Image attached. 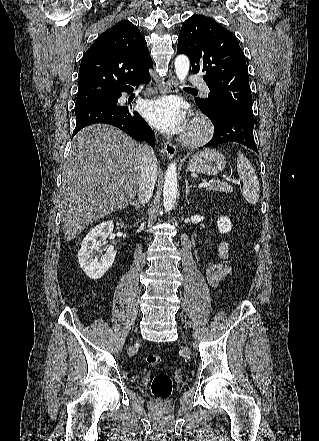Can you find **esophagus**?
Returning a JSON list of instances; mask_svg holds the SVG:
<instances>
[{
    "label": "esophagus",
    "mask_w": 319,
    "mask_h": 441,
    "mask_svg": "<svg viewBox=\"0 0 319 441\" xmlns=\"http://www.w3.org/2000/svg\"><path fill=\"white\" fill-rule=\"evenodd\" d=\"M178 92V84L177 79L173 75H169L165 82V89L163 90V94L168 93H177ZM164 152L169 159H172L176 155V146L172 144L168 140H163Z\"/></svg>",
    "instance_id": "esophagus-1"
}]
</instances>
